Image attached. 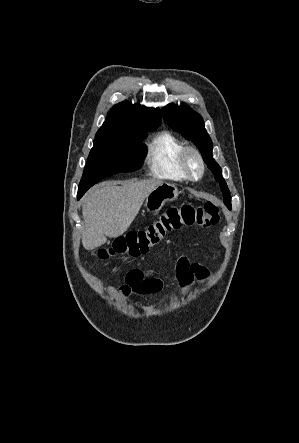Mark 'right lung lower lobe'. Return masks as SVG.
<instances>
[{"label":"right lung lower lobe","instance_id":"98d812e1","mask_svg":"<svg viewBox=\"0 0 299 443\" xmlns=\"http://www.w3.org/2000/svg\"><path fill=\"white\" fill-rule=\"evenodd\" d=\"M78 199H80L82 197V195H77Z\"/></svg>","mask_w":299,"mask_h":443}]
</instances>
